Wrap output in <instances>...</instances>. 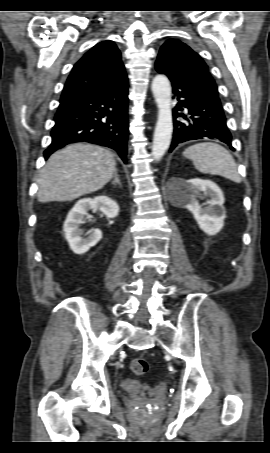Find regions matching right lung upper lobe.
<instances>
[{
    "label": "right lung upper lobe",
    "instance_id": "obj_1",
    "mask_svg": "<svg viewBox=\"0 0 270 453\" xmlns=\"http://www.w3.org/2000/svg\"><path fill=\"white\" fill-rule=\"evenodd\" d=\"M125 77V67L117 46L112 41H102L74 65L61 99L102 92Z\"/></svg>",
    "mask_w": 270,
    "mask_h": 453
}]
</instances>
